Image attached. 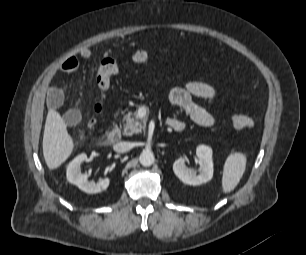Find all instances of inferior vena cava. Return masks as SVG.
Returning <instances> with one entry per match:
<instances>
[{
	"mask_svg": "<svg viewBox=\"0 0 306 255\" xmlns=\"http://www.w3.org/2000/svg\"><path fill=\"white\" fill-rule=\"evenodd\" d=\"M132 144L130 142H119L113 146L115 152L124 153L131 150Z\"/></svg>",
	"mask_w": 306,
	"mask_h": 255,
	"instance_id": "inferior-vena-cava-1",
	"label": "inferior vena cava"
}]
</instances>
